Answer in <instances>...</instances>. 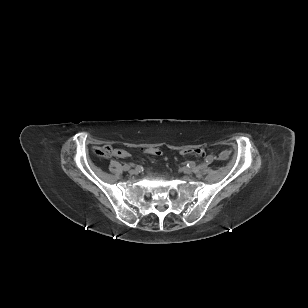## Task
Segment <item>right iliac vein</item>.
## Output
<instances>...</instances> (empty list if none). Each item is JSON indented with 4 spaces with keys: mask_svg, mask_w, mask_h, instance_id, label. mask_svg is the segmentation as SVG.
<instances>
[{
    "mask_svg": "<svg viewBox=\"0 0 308 308\" xmlns=\"http://www.w3.org/2000/svg\"><path fill=\"white\" fill-rule=\"evenodd\" d=\"M129 173L132 174V175H135V174L138 173V170H137V169H131V170L129 171Z\"/></svg>",
    "mask_w": 308,
    "mask_h": 308,
    "instance_id": "63e3f726",
    "label": "right iliac vein"
}]
</instances>
